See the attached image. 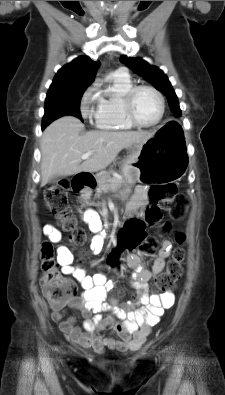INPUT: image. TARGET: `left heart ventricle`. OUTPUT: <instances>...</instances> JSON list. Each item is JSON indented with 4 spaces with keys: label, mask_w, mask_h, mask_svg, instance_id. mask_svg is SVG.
Returning a JSON list of instances; mask_svg holds the SVG:
<instances>
[{
    "label": "left heart ventricle",
    "mask_w": 225,
    "mask_h": 395,
    "mask_svg": "<svg viewBox=\"0 0 225 395\" xmlns=\"http://www.w3.org/2000/svg\"><path fill=\"white\" fill-rule=\"evenodd\" d=\"M134 113L137 119L145 124L154 123L160 114L157 97L148 90H141L134 100Z\"/></svg>",
    "instance_id": "b2bd125f"
}]
</instances>
